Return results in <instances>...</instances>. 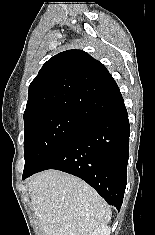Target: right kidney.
Segmentation results:
<instances>
[{"label":"right kidney","instance_id":"right-kidney-1","mask_svg":"<svg viewBox=\"0 0 155 235\" xmlns=\"http://www.w3.org/2000/svg\"><path fill=\"white\" fill-rule=\"evenodd\" d=\"M90 235H110V228L107 225L102 226Z\"/></svg>","mask_w":155,"mask_h":235}]
</instances>
